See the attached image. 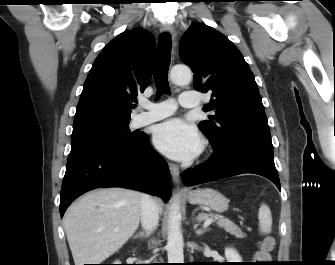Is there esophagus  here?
Listing matches in <instances>:
<instances>
[{"instance_id": "1", "label": "esophagus", "mask_w": 335, "mask_h": 265, "mask_svg": "<svg viewBox=\"0 0 335 265\" xmlns=\"http://www.w3.org/2000/svg\"><path fill=\"white\" fill-rule=\"evenodd\" d=\"M160 30L163 33H168L172 38L173 45H175V31H174V28L170 24H162ZM169 169H170L173 181L175 183H178L179 175H180L178 166L174 163H169Z\"/></svg>"}]
</instances>
